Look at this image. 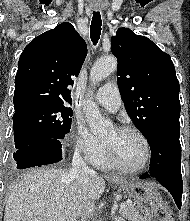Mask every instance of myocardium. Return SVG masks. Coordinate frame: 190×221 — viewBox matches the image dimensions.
<instances>
[{
	"mask_svg": "<svg viewBox=\"0 0 190 221\" xmlns=\"http://www.w3.org/2000/svg\"><path fill=\"white\" fill-rule=\"evenodd\" d=\"M116 130L118 131H131L134 132L135 134H137L140 139L142 140L144 147H145V159L144 162L141 166L137 167V168H130L125 166L117 157L114 149L106 142L103 141V146L106 152V155L108 157V159L110 160V162L119 170L124 171L126 173H131V174H137V173H141L143 171H145L151 161V156H152V151H151V145L150 142L147 138V136L136 126L134 125H130V124H121L115 127Z\"/></svg>",
	"mask_w": 190,
	"mask_h": 221,
	"instance_id": "1",
	"label": "myocardium"
}]
</instances>
